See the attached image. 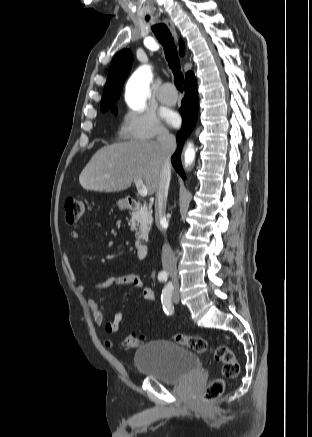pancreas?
<instances>
[{"label": "pancreas", "instance_id": "cf45deb5", "mask_svg": "<svg viewBox=\"0 0 312 437\" xmlns=\"http://www.w3.org/2000/svg\"><path fill=\"white\" fill-rule=\"evenodd\" d=\"M152 222L151 209L146 204L131 214V230L136 231L135 236L138 243L144 240L147 241Z\"/></svg>", "mask_w": 312, "mask_h": 437}]
</instances>
